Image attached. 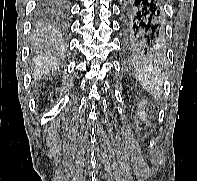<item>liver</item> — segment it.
<instances>
[{"mask_svg": "<svg viewBox=\"0 0 197 181\" xmlns=\"http://www.w3.org/2000/svg\"><path fill=\"white\" fill-rule=\"evenodd\" d=\"M58 67V62L52 56H40L34 60L33 78L39 79L42 75L55 70Z\"/></svg>", "mask_w": 197, "mask_h": 181, "instance_id": "1", "label": "liver"}]
</instances>
